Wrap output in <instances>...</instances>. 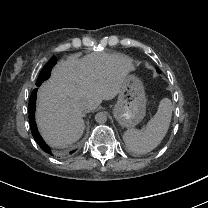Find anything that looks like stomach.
<instances>
[{
	"label": "stomach",
	"mask_w": 208,
	"mask_h": 208,
	"mask_svg": "<svg viewBox=\"0 0 208 208\" xmlns=\"http://www.w3.org/2000/svg\"><path fill=\"white\" fill-rule=\"evenodd\" d=\"M114 117L124 127L140 123L146 113V98L143 83L134 75H129L121 86Z\"/></svg>",
	"instance_id": "stomach-1"
}]
</instances>
